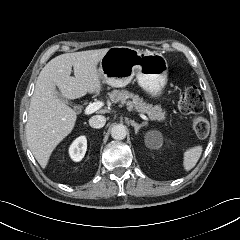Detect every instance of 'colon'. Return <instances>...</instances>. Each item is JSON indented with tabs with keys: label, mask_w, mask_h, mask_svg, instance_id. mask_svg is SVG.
Listing matches in <instances>:
<instances>
[{
	"label": "colon",
	"mask_w": 240,
	"mask_h": 240,
	"mask_svg": "<svg viewBox=\"0 0 240 240\" xmlns=\"http://www.w3.org/2000/svg\"><path fill=\"white\" fill-rule=\"evenodd\" d=\"M178 106L184 113L195 114L191 119L192 128L197 136L205 137L209 132V122L199 115L203 109V99L199 89L194 86L185 88L180 94Z\"/></svg>",
	"instance_id": "colon-1"
}]
</instances>
